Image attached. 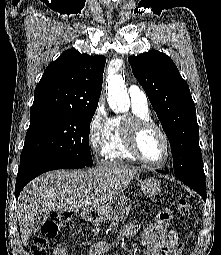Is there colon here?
Returning <instances> with one entry per match:
<instances>
[{
  "mask_svg": "<svg viewBox=\"0 0 221 255\" xmlns=\"http://www.w3.org/2000/svg\"><path fill=\"white\" fill-rule=\"evenodd\" d=\"M177 209L183 216L191 213V205L187 198H181L177 203ZM172 214L168 209L159 212L154 225L149 229L151 232L161 233L168 228ZM72 217L69 213H55L42 226L41 233L34 239L31 247L32 255H48V241L54 238L60 229L71 228ZM54 255H67L64 248L59 247L54 251Z\"/></svg>",
  "mask_w": 221,
  "mask_h": 255,
  "instance_id": "1",
  "label": "colon"
}]
</instances>
